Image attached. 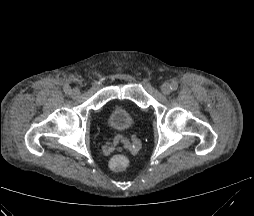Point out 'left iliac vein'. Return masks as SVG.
<instances>
[{"label":"left iliac vein","instance_id":"4c4485c4","mask_svg":"<svg viewBox=\"0 0 254 216\" xmlns=\"http://www.w3.org/2000/svg\"><path fill=\"white\" fill-rule=\"evenodd\" d=\"M161 91L165 95H169L171 93V87L169 83H163L161 86Z\"/></svg>","mask_w":254,"mask_h":216}]
</instances>
